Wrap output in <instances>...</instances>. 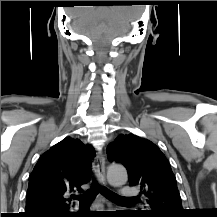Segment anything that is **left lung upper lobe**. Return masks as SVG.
Wrapping results in <instances>:
<instances>
[{"mask_svg":"<svg viewBox=\"0 0 217 217\" xmlns=\"http://www.w3.org/2000/svg\"><path fill=\"white\" fill-rule=\"evenodd\" d=\"M109 161L122 163L132 186H140L147 197L151 217H179L183 214L176 178L165 155L151 141L133 134H121L107 147Z\"/></svg>","mask_w":217,"mask_h":217,"instance_id":"1","label":"left lung upper lobe"}]
</instances>
